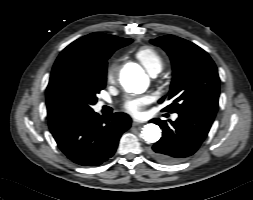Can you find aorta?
<instances>
[{"label": "aorta", "instance_id": "762f6f07", "mask_svg": "<svg viewBox=\"0 0 253 200\" xmlns=\"http://www.w3.org/2000/svg\"><path fill=\"white\" fill-rule=\"evenodd\" d=\"M120 80L126 91L136 94L145 92L149 85L148 76L141 69H132L124 72ZM141 136L146 142L155 143L161 137V129L156 124H146L142 128Z\"/></svg>", "mask_w": 253, "mask_h": 200}]
</instances>
